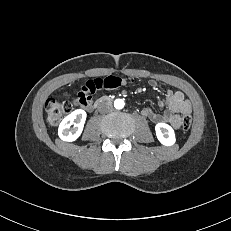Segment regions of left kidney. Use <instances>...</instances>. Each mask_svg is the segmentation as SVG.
I'll return each instance as SVG.
<instances>
[{
    "instance_id": "left-kidney-1",
    "label": "left kidney",
    "mask_w": 231,
    "mask_h": 231,
    "mask_svg": "<svg viewBox=\"0 0 231 231\" xmlns=\"http://www.w3.org/2000/svg\"><path fill=\"white\" fill-rule=\"evenodd\" d=\"M156 136L161 144L171 146L175 143V133L166 123H158L155 126Z\"/></svg>"
}]
</instances>
